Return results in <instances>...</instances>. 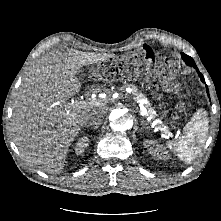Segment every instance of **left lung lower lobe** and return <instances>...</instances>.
<instances>
[{"mask_svg": "<svg viewBox=\"0 0 221 221\" xmlns=\"http://www.w3.org/2000/svg\"><path fill=\"white\" fill-rule=\"evenodd\" d=\"M182 55H183V53H182ZM193 67L197 70V72H198V74H199V76H200L201 81L204 83L205 80H204L203 75L199 72V70H198V68L196 67V65L193 66ZM206 90H207V94H208V96H209L208 88H206Z\"/></svg>", "mask_w": 221, "mask_h": 221, "instance_id": "0a47b994", "label": "left lung lower lobe"}]
</instances>
